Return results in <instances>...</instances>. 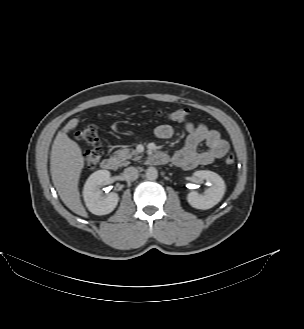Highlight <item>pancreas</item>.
Here are the masks:
<instances>
[{
	"label": "pancreas",
	"mask_w": 304,
	"mask_h": 329,
	"mask_svg": "<svg viewBox=\"0 0 304 329\" xmlns=\"http://www.w3.org/2000/svg\"><path fill=\"white\" fill-rule=\"evenodd\" d=\"M114 156L121 166L128 165L130 163L129 160L137 161L141 158L138 152L134 149L118 150L114 153Z\"/></svg>",
	"instance_id": "pancreas-1"
}]
</instances>
